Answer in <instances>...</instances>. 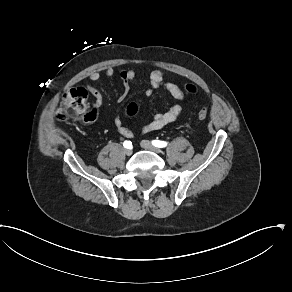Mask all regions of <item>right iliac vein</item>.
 <instances>
[{"label":"right iliac vein","instance_id":"1","mask_svg":"<svg viewBox=\"0 0 292 292\" xmlns=\"http://www.w3.org/2000/svg\"><path fill=\"white\" fill-rule=\"evenodd\" d=\"M132 153H133L132 149H130V148L125 149V154H126L127 156L132 155Z\"/></svg>","mask_w":292,"mask_h":292}]
</instances>
